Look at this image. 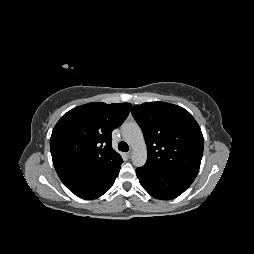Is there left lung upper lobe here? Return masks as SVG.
<instances>
[{"label": "left lung upper lobe", "mask_w": 254, "mask_h": 254, "mask_svg": "<svg viewBox=\"0 0 254 254\" xmlns=\"http://www.w3.org/2000/svg\"><path fill=\"white\" fill-rule=\"evenodd\" d=\"M131 113L147 144L146 165L164 172L197 176L204 138L187 110L170 103L147 102L134 105Z\"/></svg>", "instance_id": "obj_1"}]
</instances>
